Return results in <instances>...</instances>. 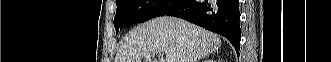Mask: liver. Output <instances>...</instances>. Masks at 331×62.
Listing matches in <instances>:
<instances>
[{
    "label": "liver",
    "mask_w": 331,
    "mask_h": 62,
    "mask_svg": "<svg viewBox=\"0 0 331 62\" xmlns=\"http://www.w3.org/2000/svg\"><path fill=\"white\" fill-rule=\"evenodd\" d=\"M220 37L175 17H159L133 28L124 38L114 62H143L149 55L172 54L175 62H196L217 51Z\"/></svg>",
    "instance_id": "6515ba94"
}]
</instances>
